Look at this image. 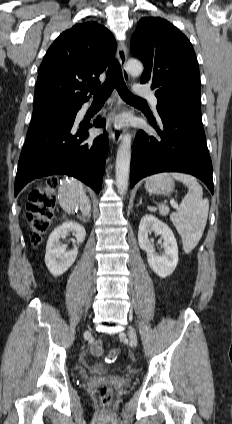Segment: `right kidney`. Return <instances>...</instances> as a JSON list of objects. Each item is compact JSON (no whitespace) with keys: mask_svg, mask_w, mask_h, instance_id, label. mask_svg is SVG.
Segmentation results:
<instances>
[{"mask_svg":"<svg viewBox=\"0 0 232 424\" xmlns=\"http://www.w3.org/2000/svg\"><path fill=\"white\" fill-rule=\"evenodd\" d=\"M72 232L77 243H82L86 236L85 228L77 222L67 221L54 229L50 234L45 254V263L53 276H60L67 271L78 254V248L75 247L71 251H66L60 239Z\"/></svg>","mask_w":232,"mask_h":424,"instance_id":"right-kidney-1","label":"right kidney"}]
</instances>
